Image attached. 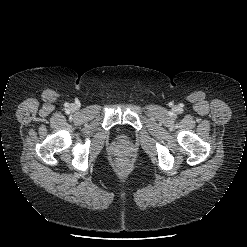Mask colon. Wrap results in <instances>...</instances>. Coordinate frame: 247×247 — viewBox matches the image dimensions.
I'll use <instances>...</instances> for the list:
<instances>
[{"mask_svg": "<svg viewBox=\"0 0 247 247\" xmlns=\"http://www.w3.org/2000/svg\"><path fill=\"white\" fill-rule=\"evenodd\" d=\"M117 167L121 170H126L129 167V161L127 159L121 158L117 161Z\"/></svg>", "mask_w": 247, "mask_h": 247, "instance_id": "5ec220e1", "label": "colon"}]
</instances>
